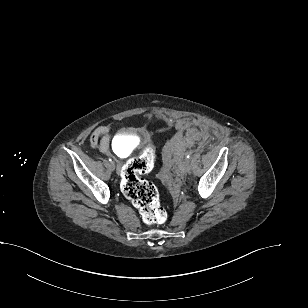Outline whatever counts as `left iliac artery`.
I'll return each instance as SVG.
<instances>
[{
  "instance_id": "obj_1",
  "label": "left iliac artery",
  "mask_w": 308,
  "mask_h": 308,
  "mask_svg": "<svg viewBox=\"0 0 308 308\" xmlns=\"http://www.w3.org/2000/svg\"><path fill=\"white\" fill-rule=\"evenodd\" d=\"M191 155H192L191 152H187V153H186V158H187V159L191 158Z\"/></svg>"
}]
</instances>
